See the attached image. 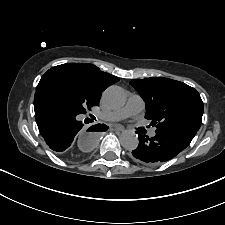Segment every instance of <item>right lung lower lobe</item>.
Returning <instances> with one entry per match:
<instances>
[{
	"label": "right lung lower lobe",
	"mask_w": 225,
	"mask_h": 225,
	"mask_svg": "<svg viewBox=\"0 0 225 225\" xmlns=\"http://www.w3.org/2000/svg\"><path fill=\"white\" fill-rule=\"evenodd\" d=\"M35 119L41 136L47 145L68 159H79L80 154L74 150L76 138L82 132L83 123L78 120V113L61 102L42 93H35ZM104 124L91 126L88 131H105ZM95 133L87 134L91 143L82 151L91 150L95 142Z\"/></svg>",
	"instance_id": "right-lung-lower-lobe-1"
}]
</instances>
